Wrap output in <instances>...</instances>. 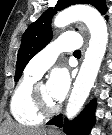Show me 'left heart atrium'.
<instances>
[{
    "instance_id": "obj_1",
    "label": "left heart atrium",
    "mask_w": 112,
    "mask_h": 135,
    "mask_svg": "<svg viewBox=\"0 0 112 135\" xmlns=\"http://www.w3.org/2000/svg\"><path fill=\"white\" fill-rule=\"evenodd\" d=\"M47 86L51 98L57 103L62 101L70 86V76L68 71L65 68H57L53 70Z\"/></svg>"
}]
</instances>
